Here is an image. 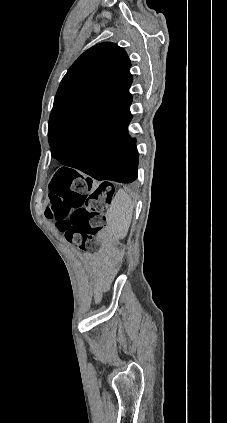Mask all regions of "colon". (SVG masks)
Segmentation results:
<instances>
[{
	"instance_id": "colon-1",
	"label": "colon",
	"mask_w": 227,
	"mask_h": 423,
	"mask_svg": "<svg viewBox=\"0 0 227 423\" xmlns=\"http://www.w3.org/2000/svg\"><path fill=\"white\" fill-rule=\"evenodd\" d=\"M108 183L94 186L88 178L72 171H58L51 182L48 218L54 220L70 243L93 252L96 234L103 228V211L113 196Z\"/></svg>"
}]
</instances>
